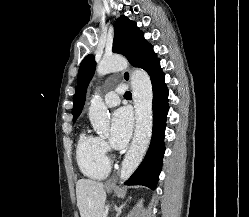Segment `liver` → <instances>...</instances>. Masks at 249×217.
Here are the masks:
<instances>
[{"label": "liver", "instance_id": "liver-1", "mask_svg": "<svg viewBox=\"0 0 249 217\" xmlns=\"http://www.w3.org/2000/svg\"><path fill=\"white\" fill-rule=\"evenodd\" d=\"M77 206L81 217H102L106 192L102 182L80 179L76 183Z\"/></svg>", "mask_w": 249, "mask_h": 217}]
</instances>
